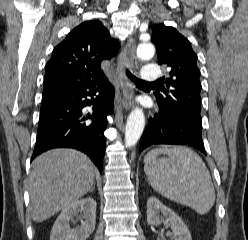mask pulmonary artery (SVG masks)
<instances>
[{
    "instance_id": "pulmonary-artery-1",
    "label": "pulmonary artery",
    "mask_w": 248,
    "mask_h": 240,
    "mask_svg": "<svg viewBox=\"0 0 248 240\" xmlns=\"http://www.w3.org/2000/svg\"><path fill=\"white\" fill-rule=\"evenodd\" d=\"M160 69L156 65H146L142 70H141V79L145 82H156L160 78Z\"/></svg>"
}]
</instances>
